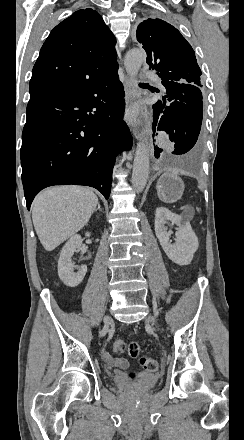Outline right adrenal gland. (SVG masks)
Wrapping results in <instances>:
<instances>
[{"label":"right adrenal gland","instance_id":"2a0ac1e0","mask_svg":"<svg viewBox=\"0 0 244 440\" xmlns=\"http://www.w3.org/2000/svg\"><path fill=\"white\" fill-rule=\"evenodd\" d=\"M97 210H99V212H102L100 204H98ZM97 210H96V212H97Z\"/></svg>","mask_w":244,"mask_h":440}]
</instances>
